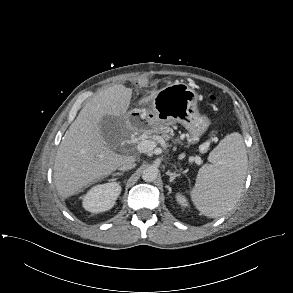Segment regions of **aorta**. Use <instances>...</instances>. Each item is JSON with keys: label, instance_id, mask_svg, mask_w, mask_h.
Wrapping results in <instances>:
<instances>
[{"label": "aorta", "instance_id": "1", "mask_svg": "<svg viewBox=\"0 0 293 293\" xmlns=\"http://www.w3.org/2000/svg\"><path fill=\"white\" fill-rule=\"evenodd\" d=\"M158 177V170L153 167V166H149L147 168H145L142 172V179L145 182H154Z\"/></svg>", "mask_w": 293, "mask_h": 293}]
</instances>
